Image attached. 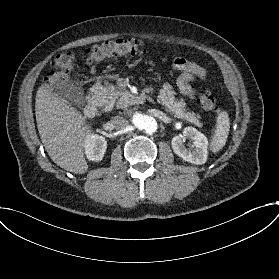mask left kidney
Wrapping results in <instances>:
<instances>
[{"label": "left kidney", "mask_w": 279, "mask_h": 279, "mask_svg": "<svg viewBox=\"0 0 279 279\" xmlns=\"http://www.w3.org/2000/svg\"><path fill=\"white\" fill-rule=\"evenodd\" d=\"M186 139L192 141L191 148L187 149L184 146ZM172 149L175 154L183 160L196 165H202L207 161L208 156V139L194 127H186L182 135H177L172 138Z\"/></svg>", "instance_id": "obj_1"}]
</instances>
